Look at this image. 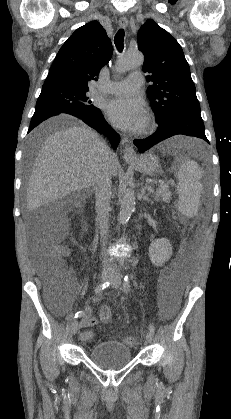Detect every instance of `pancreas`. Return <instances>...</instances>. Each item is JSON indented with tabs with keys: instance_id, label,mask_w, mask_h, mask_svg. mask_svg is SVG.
<instances>
[{
	"instance_id": "1",
	"label": "pancreas",
	"mask_w": 231,
	"mask_h": 419,
	"mask_svg": "<svg viewBox=\"0 0 231 419\" xmlns=\"http://www.w3.org/2000/svg\"><path fill=\"white\" fill-rule=\"evenodd\" d=\"M154 198L157 201H160L161 200V201H164V202H167L168 203L170 201V198H171V192H169L168 189L159 188L155 192Z\"/></svg>"
}]
</instances>
